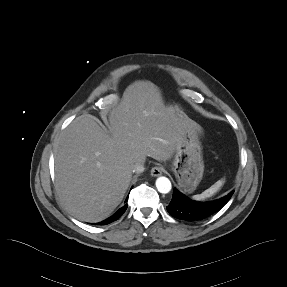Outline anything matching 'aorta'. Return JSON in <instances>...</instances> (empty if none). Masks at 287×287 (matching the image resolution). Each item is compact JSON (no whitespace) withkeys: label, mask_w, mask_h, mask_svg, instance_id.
<instances>
[{"label":"aorta","mask_w":287,"mask_h":287,"mask_svg":"<svg viewBox=\"0 0 287 287\" xmlns=\"http://www.w3.org/2000/svg\"><path fill=\"white\" fill-rule=\"evenodd\" d=\"M156 188L160 193L166 194L170 192L172 185L167 177L162 176L157 178Z\"/></svg>","instance_id":"1"}]
</instances>
